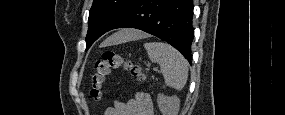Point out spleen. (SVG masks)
<instances>
[{
	"instance_id": "3e777b00",
	"label": "spleen",
	"mask_w": 285,
	"mask_h": 115,
	"mask_svg": "<svg viewBox=\"0 0 285 115\" xmlns=\"http://www.w3.org/2000/svg\"><path fill=\"white\" fill-rule=\"evenodd\" d=\"M144 48L150 60L160 65L165 84L181 90L188 78V62L182 54L164 42H148Z\"/></svg>"
}]
</instances>
